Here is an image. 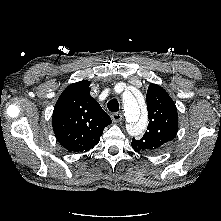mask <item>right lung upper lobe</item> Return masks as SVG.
<instances>
[{
	"instance_id": "1",
	"label": "right lung upper lobe",
	"mask_w": 221,
	"mask_h": 221,
	"mask_svg": "<svg viewBox=\"0 0 221 221\" xmlns=\"http://www.w3.org/2000/svg\"><path fill=\"white\" fill-rule=\"evenodd\" d=\"M90 82L69 85L59 97L52 118L58 142L70 152L89 151L98 144L109 115L90 96Z\"/></svg>"
}]
</instances>
